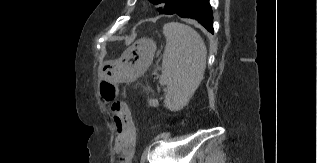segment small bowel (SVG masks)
Returning <instances> with one entry per match:
<instances>
[{
    "instance_id": "obj_1",
    "label": "small bowel",
    "mask_w": 317,
    "mask_h": 163,
    "mask_svg": "<svg viewBox=\"0 0 317 163\" xmlns=\"http://www.w3.org/2000/svg\"><path fill=\"white\" fill-rule=\"evenodd\" d=\"M113 123L116 129V143L121 147V163H130L136 145V130L127 108L121 104L113 111Z\"/></svg>"
}]
</instances>
